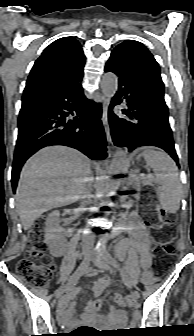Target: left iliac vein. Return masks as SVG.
Listing matches in <instances>:
<instances>
[{
    "label": "left iliac vein",
    "instance_id": "left-iliac-vein-1",
    "mask_svg": "<svg viewBox=\"0 0 194 336\" xmlns=\"http://www.w3.org/2000/svg\"><path fill=\"white\" fill-rule=\"evenodd\" d=\"M103 259H104V262L102 263V267H103V269H105V270H109L111 266H114V267L117 266V261H116L112 256H110V255H105V256L103 257ZM132 294H133V297H134L135 299H138V298L140 297V294H139L138 291H133Z\"/></svg>",
    "mask_w": 194,
    "mask_h": 336
}]
</instances>
